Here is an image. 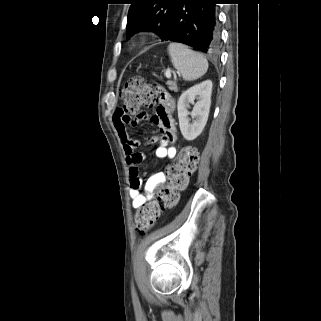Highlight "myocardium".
Masks as SVG:
<instances>
[{
	"mask_svg": "<svg viewBox=\"0 0 321 321\" xmlns=\"http://www.w3.org/2000/svg\"><path fill=\"white\" fill-rule=\"evenodd\" d=\"M143 40H144V38L141 37V38H139V40L137 41V43H141V42H143Z\"/></svg>",
	"mask_w": 321,
	"mask_h": 321,
	"instance_id": "obj_1",
	"label": "myocardium"
}]
</instances>
